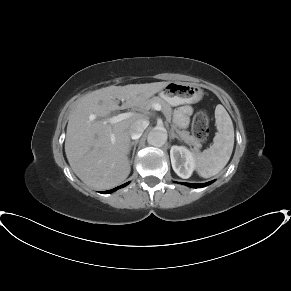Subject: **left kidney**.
<instances>
[{"label":"left kidney","mask_w":291,"mask_h":291,"mask_svg":"<svg viewBox=\"0 0 291 291\" xmlns=\"http://www.w3.org/2000/svg\"><path fill=\"white\" fill-rule=\"evenodd\" d=\"M171 164L174 172L183 179H188L196 166L194 155L185 147L174 145L170 150Z\"/></svg>","instance_id":"left-kidney-1"}]
</instances>
